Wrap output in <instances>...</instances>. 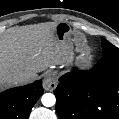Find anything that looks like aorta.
<instances>
[{
    "mask_svg": "<svg viewBox=\"0 0 119 119\" xmlns=\"http://www.w3.org/2000/svg\"><path fill=\"white\" fill-rule=\"evenodd\" d=\"M42 104L46 107H51L55 104L56 98L52 93H45L41 98Z\"/></svg>",
    "mask_w": 119,
    "mask_h": 119,
    "instance_id": "762f6f07",
    "label": "aorta"
}]
</instances>
